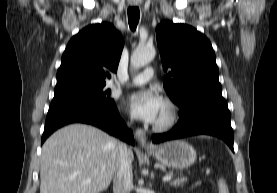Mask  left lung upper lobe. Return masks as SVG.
<instances>
[{
	"label": "left lung upper lobe",
	"mask_w": 277,
	"mask_h": 193,
	"mask_svg": "<svg viewBox=\"0 0 277 193\" xmlns=\"http://www.w3.org/2000/svg\"><path fill=\"white\" fill-rule=\"evenodd\" d=\"M156 35L163 68L170 69L163 86L181 113L200 98L222 95L215 53L202 33L189 25L164 21Z\"/></svg>",
	"instance_id": "5c2ea615"
}]
</instances>
